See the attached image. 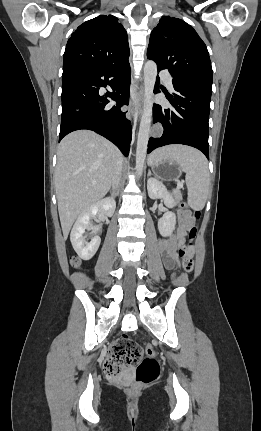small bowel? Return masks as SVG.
Listing matches in <instances>:
<instances>
[{
  "label": "small bowel",
  "mask_w": 261,
  "mask_h": 431,
  "mask_svg": "<svg viewBox=\"0 0 261 431\" xmlns=\"http://www.w3.org/2000/svg\"><path fill=\"white\" fill-rule=\"evenodd\" d=\"M193 224V220L185 212L178 211V228L175 234L159 241L158 249L166 269L179 268V249L187 240L188 229Z\"/></svg>",
  "instance_id": "1"
}]
</instances>
